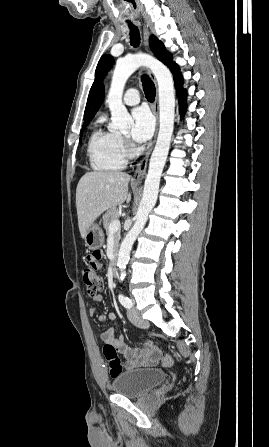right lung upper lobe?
I'll use <instances>...</instances> for the list:
<instances>
[{
  "label": "right lung upper lobe",
  "instance_id": "right-lung-upper-lobe-1",
  "mask_svg": "<svg viewBox=\"0 0 269 447\" xmlns=\"http://www.w3.org/2000/svg\"><path fill=\"white\" fill-rule=\"evenodd\" d=\"M103 98H104V88L102 87L101 92H100V94H99V96H98V99H97V101H96V104H95V106H94V108H93V110H92V112H91L89 118L84 122V125H83V126L87 125V124L89 123L90 119H91V118L96 114V112L99 110V108H100V106H101V104H102V102H103Z\"/></svg>",
  "mask_w": 269,
  "mask_h": 447
}]
</instances>
